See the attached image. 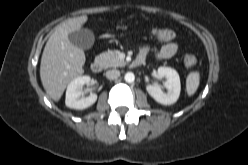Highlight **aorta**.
I'll return each mask as SVG.
<instances>
[{
	"label": "aorta",
	"instance_id": "obj_1",
	"mask_svg": "<svg viewBox=\"0 0 248 165\" xmlns=\"http://www.w3.org/2000/svg\"><path fill=\"white\" fill-rule=\"evenodd\" d=\"M127 83H132L135 80V75L132 72H127L124 77Z\"/></svg>",
	"mask_w": 248,
	"mask_h": 165
}]
</instances>
